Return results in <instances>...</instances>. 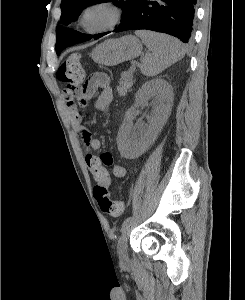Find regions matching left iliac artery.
Listing matches in <instances>:
<instances>
[{
  "label": "left iliac artery",
  "mask_w": 245,
  "mask_h": 300,
  "mask_svg": "<svg viewBox=\"0 0 245 300\" xmlns=\"http://www.w3.org/2000/svg\"><path fill=\"white\" fill-rule=\"evenodd\" d=\"M131 221H132V217L126 218L122 223V229L125 228L129 223H131Z\"/></svg>",
  "instance_id": "left-iliac-artery-1"
}]
</instances>
